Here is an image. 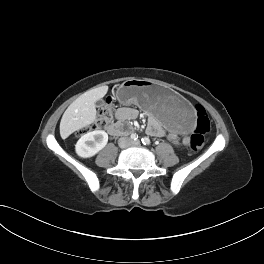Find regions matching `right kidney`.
Instances as JSON below:
<instances>
[{"instance_id":"right-kidney-1","label":"right kidney","mask_w":264,"mask_h":264,"mask_svg":"<svg viewBox=\"0 0 264 264\" xmlns=\"http://www.w3.org/2000/svg\"><path fill=\"white\" fill-rule=\"evenodd\" d=\"M108 142V134L103 130H95L84 134L76 143L78 156L90 158L102 150Z\"/></svg>"}]
</instances>
